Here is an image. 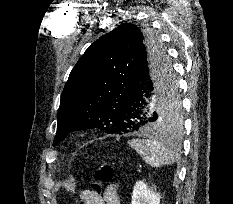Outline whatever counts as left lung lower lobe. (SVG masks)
Masks as SVG:
<instances>
[{
  "label": "left lung lower lobe",
  "instance_id": "0a47b994",
  "mask_svg": "<svg viewBox=\"0 0 233 204\" xmlns=\"http://www.w3.org/2000/svg\"><path fill=\"white\" fill-rule=\"evenodd\" d=\"M176 77L162 53L149 55L141 51L135 62L130 81L122 96L115 124L123 133L160 131L155 111L160 95L164 94Z\"/></svg>",
  "mask_w": 233,
  "mask_h": 204
}]
</instances>
